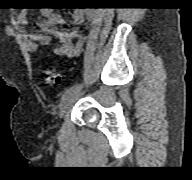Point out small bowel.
<instances>
[{
    "instance_id": "c3829d8e",
    "label": "small bowel",
    "mask_w": 192,
    "mask_h": 180,
    "mask_svg": "<svg viewBox=\"0 0 192 180\" xmlns=\"http://www.w3.org/2000/svg\"><path fill=\"white\" fill-rule=\"evenodd\" d=\"M43 15L45 16V20L39 24L42 33L22 31L27 50L29 52H36L40 45H49L53 36L56 38V43L52 48L53 54L67 58L79 56L85 43V36L75 30L66 31L63 29L61 27L64 23L62 17L53 13L50 9H44ZM94 15L95 13L92 9H75L72 13V20L74 24H82L85 18L92 20ZM28 16V10H20L17 15L18 23L26 26L29 23Z\"/></svg>"
}]
</instances>
